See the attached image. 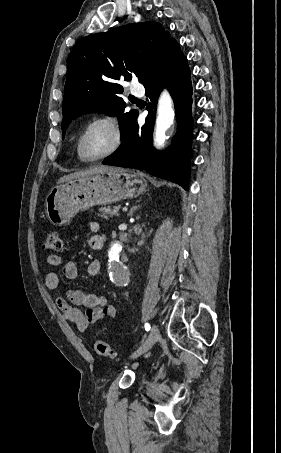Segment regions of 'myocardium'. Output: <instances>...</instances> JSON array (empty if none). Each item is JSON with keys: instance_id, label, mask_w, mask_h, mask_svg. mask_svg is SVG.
I'll use <instances>...</instances> for the list:
<instances>
[{"instance_id": "obj_1", "label": "myocardium", "mask_w": 281, "mask_h": 453, "mask_svg": "<svg viewBox=\"0 0 281 453\" xmlns=\"http://www.w3.org/2000/svg\"><path fill=\"white\" fill-rule=\"evenodd\" d=\"M95 128L107 129L111 135V141L97 152L86 155L84 153V140ZM122 142L123 134L120 127L109 117H97L88 121L78 133L74 145L75 156L79 161L84 163L98 161L114 154Z\"/></svg>"}]
</instances>
